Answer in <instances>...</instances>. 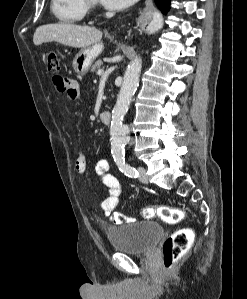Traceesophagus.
<instances>
[{
  "instance_id": "34e87169",
  "label": "esophagus",
  "mask_w": 247,
  "mask_h": 299,
  "mask_svg": "<svg viewBox=\"0 0 247 299\" xmlns=\"http://www.w3.org/2000/svg\"><path fill=\"white\" fill-rule=\"evenodd\" d=\"M146 5H147L149 8H153V2H152V0H146Z\"/></svg>"
}]
</instances>
